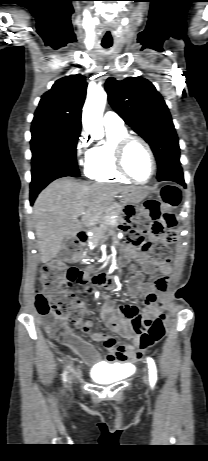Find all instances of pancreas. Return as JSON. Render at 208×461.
<instances>
[{
	"mask_svg": "<svg viewBox=\"0 0 208 461\" xmlns=\"http://www.w3.org/2000/svg\"><path fill=\"white\" fill-rule=\"evenodd\" d=\"M122 209L123 206L116 203L105 211L103 217L99 220V227L93 230V236L91 239L94 242L103 241L106 233H115V228L117 227L118 222L121 220Z\"/></svg>",
	"mask_w": 208,
	"mask_h": 461,
	"instance_id": "1",
	"label": "pancreas"
}]
</instances>
